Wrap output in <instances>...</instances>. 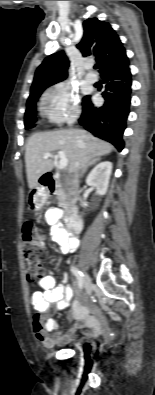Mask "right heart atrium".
<instances>
[{
    "mask_svg": "<svg viewBox=\"0 0 155 395\" xmlns=\"http://www.w3.org/2000/svg\"><path fill=\"white\" fill-rule=\"evenodd\" d=\"M45 115L54 124L74 121L79 115L76 91L67 82L53 85L44 96Z\"/></svg>",
    "mask_w": 155,
    "mask_h": 395,
    "instance_id": "obj_1",
    "label": "right heart atrium"
}]
</instances>
